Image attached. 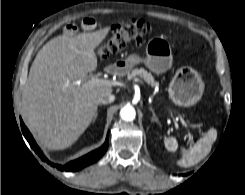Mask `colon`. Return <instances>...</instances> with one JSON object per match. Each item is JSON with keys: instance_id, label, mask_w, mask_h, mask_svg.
I'll use <instances>...</instances> for the list:
<instances>
[{"instance_id": "colon-1", "label": "colon", "mask_w": 245, "mask_h": 195, "mask_svg": "<svg viewBox=\"0 0 245 195\" xmlns=\"http://www.w3.org/2000/svg\"><path fill=\"white\" fill-rule=\"evenodd\" d=\"M152 31L151 25L143 19H133L127 23L113 27L108 41L100 48L102 57L114 55L121 51L129 42H142V38Z\"/></svg>"}]
</instances>
